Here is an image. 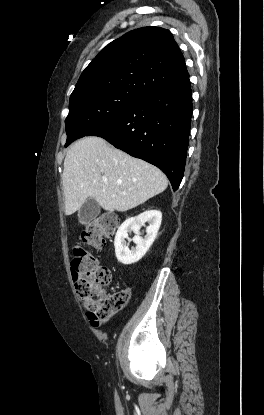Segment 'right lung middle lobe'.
Instances as JSON below:
<instances>
[{
  "instance_id": "right-lung-middle-lobe-1",
  "label": "right lung middle lobe",
  "mask_w": 264,
  "mask_h": 415,
  "mask_svg": "<svg viewBox=\"0 0 264 415\" xmlns=\"http://www.w3.org/2000/svg\"><path fill=\"white\" fill-rule=\"evenodd\" d=\"M141 98L128 92L111 91L70 99L69 114L65 120L67 133L65 147L116 119Z\"/></svg>"
}]
</instances>
